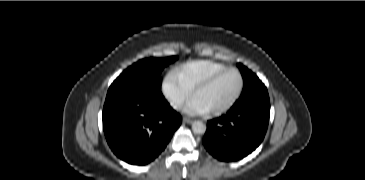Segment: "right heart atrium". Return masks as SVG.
Masks as SVG:
<instances>
[{
	"label": "right heart atrium",
	"instance_id": "d8ad5b80",
	"mask_svg": "<svg viewBox=\"0 0 365 180\" xmlns=\"http://www.w3.org/2000/svg\"><path fill=\"white\" fill-rule=\"evenodd\" d=\"M162 92L171 107L176 110L180 109L190 97V93L182 85L175 72H171L165 77Z\"/></svg>",
	"mask_w": 365,
	"mask_h": 180
}]
</instances>
